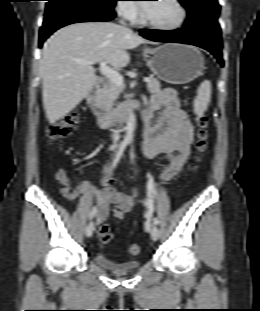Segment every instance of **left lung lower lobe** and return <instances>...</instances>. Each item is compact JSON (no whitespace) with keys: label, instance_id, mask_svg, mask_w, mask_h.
I'll list each match as a JSON object with an SVG mask.
<instances>
[{"label":"left lung lower lobe","instance_id":"0a47b994","mask_svg":"<svg viewBox=\"0 0 260 311\" xmlns=\"http://www.w3.org/2000/svg\"><path fill=\"white\" fill-rule=\"evenodd\" d=\"M140 34L153 41L184 43L204 48L217 58L221 66H224L221 31L204 26L184 25L182 29L170 31L141 29Z\"/></svg>","mask_w":260,"mask_h":311}]
</instances>
